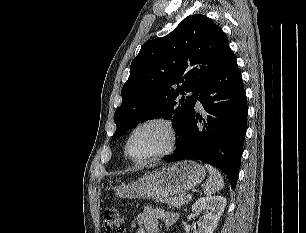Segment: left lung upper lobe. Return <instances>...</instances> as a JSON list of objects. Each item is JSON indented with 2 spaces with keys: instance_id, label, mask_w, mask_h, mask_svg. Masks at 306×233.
Here are the masks:
<instances>
[{
  "instance_id": "obj_1",
  "label": "left lung upper lobe",
  "mask_w": 306,
  "mask_h": 233,
  "mask_svg": "<svg viewBox=\"0 0 306 233\" xmlns=\"http://www.w3.org/2000/svg\"><path fill=\"white\" fill-rule=\"evenodd\" d=\"M229 51L221 28L199 14L186 17L167 36L145 42L131 63L130 76L121 91L113 138L121 137L139 122L158 117H172L179 133L193 113L202 87ZM187 92L192 95L182 97L178 105V96Z\"/></svg>"
}]
</instances>
